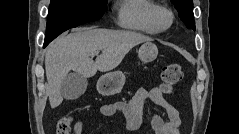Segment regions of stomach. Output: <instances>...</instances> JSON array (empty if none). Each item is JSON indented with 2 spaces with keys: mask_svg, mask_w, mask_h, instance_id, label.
Masks as SVG:
<instances>
[{
  "mask_svg": "<svg viewBox=\"0 0 239 134\" xmlns=\"http://www.w3.org/2000/svg\"><path fill=\"white\" fill-rule=\"evenodd\" d=\"M157 55V46L150 41H147L143 45H141L138 51V57L144 63H148L155 60ZM125 80L126 77L123 72H109L99 78L97 82V89L102 95H114L121 91L125 84Z\"/></svg>",
  "mask_w": 239,
  "mask_h": 134,
  "instance_id": "stomach-1",
  "label": "stomach"
}]
</instances>
